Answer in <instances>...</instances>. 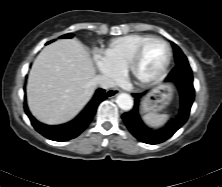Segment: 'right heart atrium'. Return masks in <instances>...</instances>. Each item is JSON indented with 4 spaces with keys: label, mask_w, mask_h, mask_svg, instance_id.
<instances>
[{
    "label": "right heart atrium",
    "mask_w": 222,
    "mask_h": 187,
    "mask_svg": "<svg viewBox=\"0 0 222 187\" xmlns=\"http://www.w3.org/2000/svg\"><path fill=\"white\" fill-rule=\"evenodd\" d=\"M95 64L100 74L111 81L120 75V71L101 56L95 58Z\"/></svg>",
    "instance_id": "right-heart-atrium-1"
}]
</instances>
